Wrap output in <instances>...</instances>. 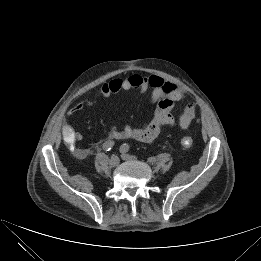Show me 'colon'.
I'll list each match as a JSON object with an SVG mask.
<instances>
[{
  "instance_id": "5ec220e1",
  "label": "colon",
  "mask_w": 261,
  "mask_h": 261,
  "mask_svg": "<svg viewBox=\"0 0 261 261\" xmlns=\"http://www.w3.org/2000/svg\"><path fill=\"white\" fill-rule=\"evenodd\" d=\"M180 143L184 148H190L193 144V140L190 136L185 135L181 138Z\"/></svg>"
}]
</instances>
